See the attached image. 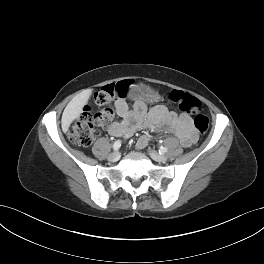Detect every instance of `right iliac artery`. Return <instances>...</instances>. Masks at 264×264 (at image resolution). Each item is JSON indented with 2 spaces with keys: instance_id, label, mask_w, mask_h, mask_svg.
I'll list each match as a JSON object with an SVG mask.
<instances>
[{
  "instance_id": "1",
  "label": "right iliac artery",
  "mask_w": 264,
  "mask_h": 264,
  "mask_svg": "<svg viewBox=\"0 0 264 264\" xmlns=\"http://www.w3.org/2000/svg\"><path fill=\"white\" fill-rule=\"evenodd\" d=\"M120 147H121V141L120 140L115 141V143L113 144V149L117 151Z\"/></svg>"
}]
</instances>
